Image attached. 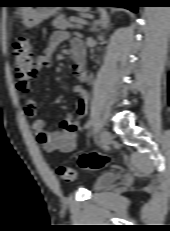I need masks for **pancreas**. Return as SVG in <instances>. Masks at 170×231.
Instances as JSON below:
<instances>
[{
  "instance_id": "cf45deb5",
  "label": "pancreas",
  "mask_w": 170,
  "mask_h": 231,
  "mask_svg": "<svg viewBox=\"0 0 170 231\" xmlns=\"http://www.w3.org/2000/svg\"><path fill=\"white\" fill-rule=\"evenodd\" d=\"M71 19V18H70ZM52 26L57 29H67V28H80V24L71 23L64 14L58 15L53 21Z\"/></svg>"
}]
</instances>
